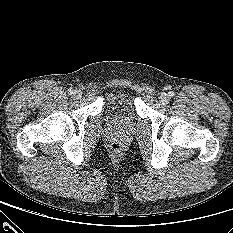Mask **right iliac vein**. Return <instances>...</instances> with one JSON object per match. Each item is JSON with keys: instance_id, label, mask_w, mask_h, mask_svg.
Wrapping results in <instances>:
<instances>
[{"instance_id": "obj_1", "label": "right iliac vein", "mask_w": 233, "mask_h": 233, "mask_svg": "<svg viewBox=\"0 0 233 233\" xmlns=\"http://www.w3.org/2000/svg\"><path fill=\"white\" fill-rule=\"evenodd\" d=\"M72 95L74 98L79 99L82 97V92L81 90H74Z\"/></svg>"}]
</instances>
